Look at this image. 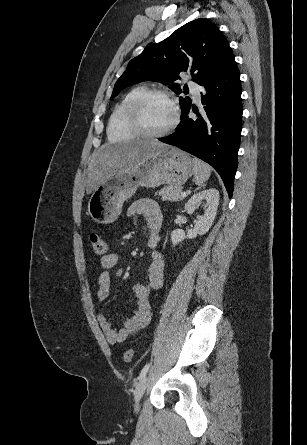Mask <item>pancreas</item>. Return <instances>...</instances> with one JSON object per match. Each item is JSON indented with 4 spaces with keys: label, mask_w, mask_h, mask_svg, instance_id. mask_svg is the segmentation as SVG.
Masks as SVG:
<instances>
[{
    "label": "pancreas",
    "mask_w": 307,
    "mask_h": 445,
    "mask_svg": "<svg viewBox=\"0 0 307 445\" xmlns=\"http://www.w3.org/2000/svg\"><path fill=\"white\" fill-rule=\"evenodd\" d=\"M181 188L182 186H163L159 192H155V194H160L162 196V200H182L181 196Z\"/></svg>",
    "instance_id": "obj_1"
}]
</instances>
